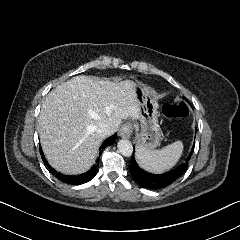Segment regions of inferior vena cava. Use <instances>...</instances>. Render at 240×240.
I'll use <instances>...</instances> for the list:
<instances>
[{
    "instance_id": "602c4592",
    "label": "inferior vena cava",
    "mask_w": 240,
    "mask_h": 240,
    "mask_svg": "<svg viewBox=\"0 0 240 240\" xmlns=\"http://www.w3.org/2000/svg\"><path fill=\"white\" fill-rule=\"evenodd\" d=\"M118 125H109L106 123H100L98 126L97 133L100 135L102 138H106L110 136L112 132H114L117 129Z\"/></svg>"
}]
</instances>
